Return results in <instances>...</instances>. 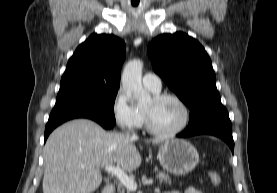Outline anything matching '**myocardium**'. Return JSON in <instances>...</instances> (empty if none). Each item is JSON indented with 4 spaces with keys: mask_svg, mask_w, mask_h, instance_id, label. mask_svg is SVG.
<instances>
[{
    "mask_svg": "<svg viewBox=\"0 0 277 193\" xmlns=\"http://www.w3.org/2000/svg\"><path fill=\"white\" fill-rule=\"evenodd\" d=\"M165 99H172V100L176 101L183 109V112H184L183 122L176 129L171 130V131H162L154 125L152 117L147 110L143 109L142 113L144 116L146 128L151 134L158 136V137L171 138V137H174V136L180 134L182 131H184L187 128V126L190 122V110H189V107L186 104V102L180 96H178L174 93H168V92L157 93V94H154L152 97V100L155 103L161 102Z\"/></svg>",
    "mask_w": 277,
    "mask_h": 193,
    "instance_id": "myocardium-1",
    "label": "myocardium"
}]
</instances>
